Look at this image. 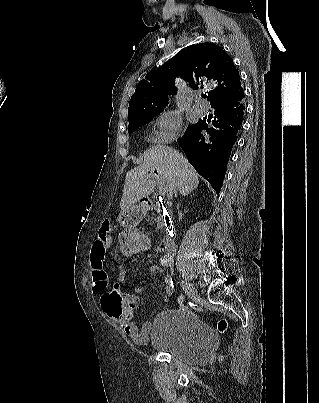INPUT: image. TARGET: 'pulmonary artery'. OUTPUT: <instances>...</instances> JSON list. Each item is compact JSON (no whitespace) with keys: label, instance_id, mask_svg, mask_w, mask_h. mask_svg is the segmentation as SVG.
I'll use <instances>...</instances> for the list:
<instances>
[{"label":"pulmonary artery","instance_id":"obj_1","mask_svg":"<svg viewBox=\"0 0 319 403\" xmlns=\"http://www.w3.org/2000/svg\"><path fill=\"white\" fill-rule=\"evenodd\" d=\"M194 109L197 113L204 115L208 112V105L202 101H198L194 104Z\"/></svg>","mask_w":319,"mask_h":403}]
</instances>
